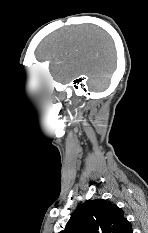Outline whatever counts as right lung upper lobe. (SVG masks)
<instances>
[{"label": "right lung upper lobe", "instance_id": "right-lung-upper-lobe-1", "mask_svg": "<svg viewBox=\"0 0 148 233\" xmlns=\"http://www.w3.org/2000/svg\"><path fill=\"white\" fill-rule=\"evenodd\" d=\"M60 233H132L121 208L103 199L79 205Z\"/></svg>", "mask_w": 148, "mask_h": 233}]
</instances>
